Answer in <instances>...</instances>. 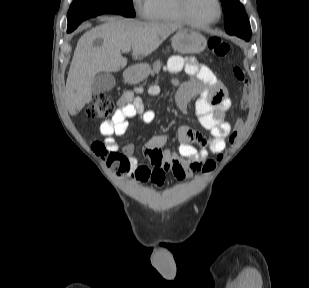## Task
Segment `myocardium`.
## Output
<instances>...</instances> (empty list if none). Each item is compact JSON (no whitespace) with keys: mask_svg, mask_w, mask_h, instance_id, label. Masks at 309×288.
Here are the masks:
<instances>
[{"mask_svg":"<svg viewBox=\"0 0 309 288\" xmlns=\"http://www.w3.org/2000/svg\"><path fill=\"white\" fill-rule=\"evenodd\" d=\"M217 5H218V15L214 20H210V21H205V22H201L196 20L189 11V0H177V4H178V9L182 15V17L185 19V21L190 24L191 26L197 27V28H204V27H208L211 25H214L216 23H218L224 13V9H223V4L221 0H216Z\"/></svg>","mask_w":309,"mask_h":288,"instance_id":"1","label":"myocardium"}]
</instances>
